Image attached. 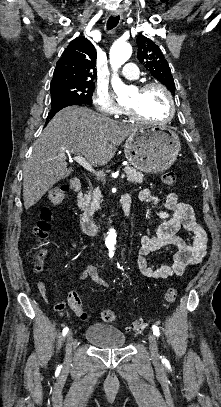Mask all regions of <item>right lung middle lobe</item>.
Returning a JSON list of instances; mask_svg holds the SVG:
<instances>
[{"mask_svg": "<svg viewBox=\"0 0 221 407\" xmlns=\"http://www.w3.org/2000/svg\"><path fill=\"white\" fill-rule=\"evenodd\" d=\"M94 88L95 84L93 82H80L50 89L51 106L65 101L91 105Z\"/></svg>", "mask_w": 221, "mask_h": 407, "instance_id": "obj_1", "label": "right lung middle lobe"}]
</instances>
